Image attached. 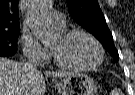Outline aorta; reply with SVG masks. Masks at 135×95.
Segmentation results:
<instances>
[{"instance_id": "1", "label": "aorta", "mask_w": 135, "mask_h": 95, "mask_svg": "<svg viewBox=\"0 0 135 95\" xmlns=\"http://www.w3.org/2000/svg\"><path fill=\"white\" fill-rule=\"evenodd\" d=\"M50 9V0H33L29 10V26L33 35L42 43H49L57 37V32L50 27L48 22Z\"/></svg>"}]
</instances>
